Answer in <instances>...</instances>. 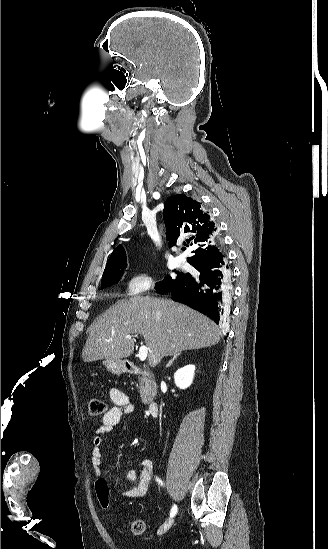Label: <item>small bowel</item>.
<instances>
[{"instance_id":"1","label":"small bowel","mask_w":328,"mask_h":549,"mask_svg":"<svg viewBox=\"0 0 328 549\" xmlns=\"http://www.w3.org/2000/svg\"><path fill=\"white\" fill-rule=\"evenodd\" d=\"M109 397L113 406L105 413L101 425L96 429L92 439L91 464L96 476L101 475L102 451L101 445L105 435L121 422L123 417L134 411V405L130 402L128 396L117 388H111ZM142 470L136 479L134 469H129L122 475L114 477L113 482L120 486L124 483H134L129 489L121 490V493L131 498H143L147 496L153 481V463L150 459L144 458L140 461Z\"/></svg>"}]
</instances>
